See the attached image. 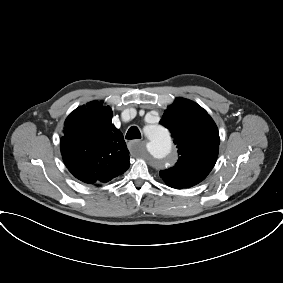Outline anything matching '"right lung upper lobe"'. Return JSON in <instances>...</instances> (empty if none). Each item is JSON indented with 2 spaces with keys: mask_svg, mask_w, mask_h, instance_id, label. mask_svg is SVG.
Masks as SVG:
<instances>
[{
  "mask_svg": "<svg viewBox=\"0 0 283 283\" xmlns=\"http://www.w3.org/2000/svg\"><path fill=\"white\" fill-rule=\"evenodd\" d=\"M61 153L69 171L86 183H106L130 166L122 133L112 124L109 106L93 101L65 121Z\"/></svg>",
  "mask_w": 283,
  "mask_h": 283,
  "instance_id": "right-lung-upper-lobe-1",
  "label": "right lung upper lobe"
}]
</instances>
